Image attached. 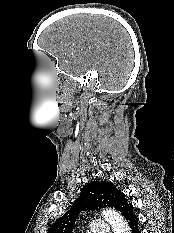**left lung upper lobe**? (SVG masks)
<instances>
[{"label":"left lung upper lobe","instance_id":"left-lung-upper-lobe-1","mask_svg":"<svg viewBox=\"0 0 174 233\" xmlns=\"http://www.w3.org/2000/svg\"><path fill=\"white\" fill-rule=\"evenodd\" d=\"M114 207L126 217L133 211L125 194L111 182H91L81 190L80 197L71 208L58 218L48 229V233H72L76 219L81 211H94L100 207Z\"/></svg>","mask_w":174,"mask_h":233}]
</instances>
